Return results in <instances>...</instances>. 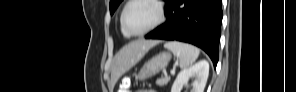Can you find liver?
Returning a JSON list of instances; mask_svg holds the SVG:
<instances>
[{
  "instance_id": "6515ba94",
  "label": "liver",
  "mask_w": 296,
  "mask_h": 92,
  "mask_svg": "<svg viewBox=\"0 0 296 92\" xmlns=\"http://www.w3.org/2000/svg\"><path fill=\"white\" fill-rule=\"evenodd\" d=\"M159 41L137 40L124 46L114 57L111 70V89L117 80L137 62Z\"/></svg>"
}]
</instances>
